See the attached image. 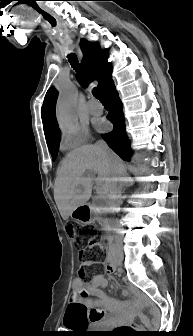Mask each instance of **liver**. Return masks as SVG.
<instances>
[{"label": "liver", "mask_w": 193, "mask_h": 336, "mask_svg": "<svg viewBox=\"0 0 193 336\" xmlns=\"http://www.w3.org/2000/svg\"><path fill=\"white\" fill-rule=\"evenodd\" d=\"M87 171L98 174L97 192L109 195L114 180L123 181L126 166L111 149L104 155L96 145H83L69 152L63 159L54 184V200L64 220L91 197L93 178L85 176Z\"/></svg>", "instance_id": "1"}]
</instances>
